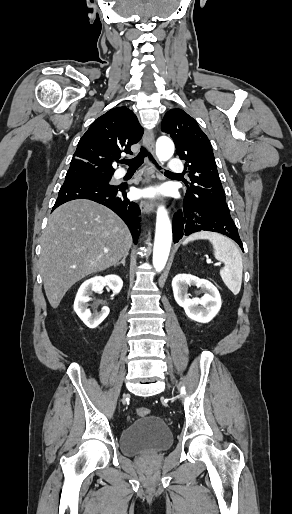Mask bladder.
Masks as SVG:
<instances>
[{
  "mask_svg": "<svg viewBox=\"0 0 292 514\" xmlns=\"http://www.w3.org/2000/svg\"><path fill=\"white\" fill-rule=\"evenodd\" d=\"M172 433L165 421L156 415L140 417L123 429L120 449L129 456L161 451L172 443Z\"/></svg>",
  "mask_w": 292,
  "mask_h": 514,
  "instance_id": "obj_1",
  "label": "bladder"
}]
</instances>
